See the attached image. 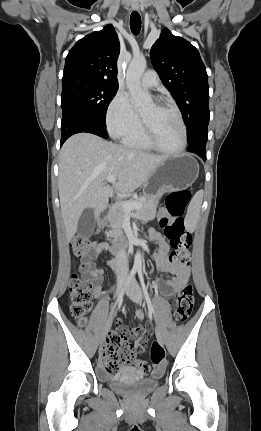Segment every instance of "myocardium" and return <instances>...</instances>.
<instances>
[{"instance_id": "myocardium-1", "label": "myocardium", "mask_w": 261, "mask_h": 431, "mask_svg": "<svg viewBox=\"0 0 261 431\" xmlns=\"http://www.w3.org/2000/svg\"><path fill=\"white\" fill-rule=\"evenodd\" d=\"M156 104L158 106L171 109L177 115V118H178L180 126H181V132H182V141H181V144H180V146L176 150H172V151L164 149L163 147H161L158 144V142L156 141L151 128L149 127V125L146 123V121L141 116L142 130H143L144 136H145L146 140L148 141V143L155 150H157V151H159V152H161L163 154L169 155V156H178L181 153H183V151L186 149V146H187V128H186L183 116H182L180 110L175 105H173V104H171L169 102L159 101Z\"/></svg>"}]
</instances>
